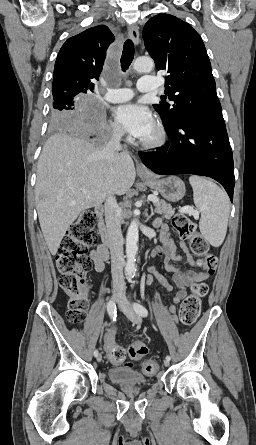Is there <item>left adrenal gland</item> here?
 I'll use <instances>...</instances> for the list:
<instances>
[{
  "instance_id": "1",
  "label": "left adrenal gland",
  "mask_w": 256,
  "mask_h": 445,
  "mask_svg": "<svg viewBox=\"0 0 256 445\" xmlns=\"http://www.w3.org/2000/svg\"><path fill=\"white\" fill-rule=\"evenodd\" d=\"M154 213H153V211L151 212V216L153 215Z\"/></svg>"
}]
</instances>
